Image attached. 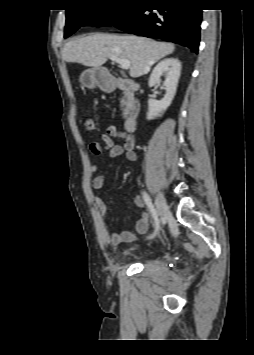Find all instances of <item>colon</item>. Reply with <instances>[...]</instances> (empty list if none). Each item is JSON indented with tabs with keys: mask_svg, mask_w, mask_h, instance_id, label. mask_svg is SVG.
Listing matches in <instances>:
<instances>
[{
	"mask_svg": "<svg viewBox=\"0 0 254 355\" xmlns=\"http://www.w3.org/2000/svg\"><path fill=\"white\" fill-rule=\"evenodd\" d=\"M83 128L87 132H94L97 129V124L92 117H85L83 119Z\"/></svg>",
	"mask_w": 254,
	"mask_h": 355,
	"instance_id": "5ec220e1",
	"label": "colon"
}]
</instances>
